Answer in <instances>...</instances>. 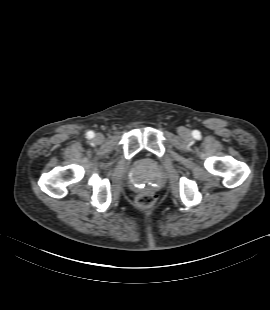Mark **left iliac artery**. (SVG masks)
Wrapping results in <instances>:
<instances>
[{"label":"left iliac artery","mask_w":270,"mask_h":310,"mask_svg":"<svg viewBox=\"0 0 270 310\" xmlns=\"http://www.w3.org/2000/svg\"><path fill=\"white\" fill-rule=\"evenodd\" d=\"M193 136H194L195 138H197V137L200 136V133H199L198 131H194Z\"/></svg>","instance_id":"44dca946"}]
</instances>
